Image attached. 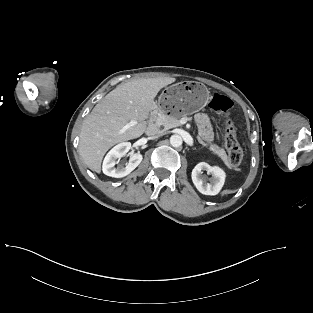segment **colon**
<instances>
[{
    "label": "colon",
    "mask_w": 313,
    "mask_h": 313,
    "mask_svg": "<svg viewBox=\"0 0 313 313\" xmlns=\"http://www.w3.org/2000/svg\"><path fill=\"white\" fill-rule=\"evenodd\" d=\"M209 107L216 112L228 116L226 121L225 146L228 151L230 163L233 166L240 165L243 159V151L237 139L235 125L230 117L233 101L225 95L216 93L212 96Z\"/></svg>",
    "instance_id": "5ec220e1"
}]
</instances>
